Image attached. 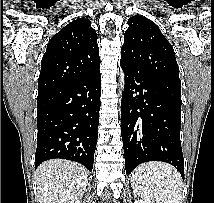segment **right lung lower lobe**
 Returning a JSON list of instances; mask_svg holds the SVG:
<instances>
[{"label": "right lung lower lobe", "mask_w": 214, "mask_h": 203, "mask_svg": "<svg viewBox=\"0 0 214 203\" xmlns=\"http://www.w3.org/2000/svg\"><path fill=\"white\" fill-rule=\"evenodd\" d=\"M99 69L38 94L35 169L44 161L68 159L92 171L100 111Z\"/></svg>", "instance_id": "right-lung-lower-lobe-1"}]
</instances>
